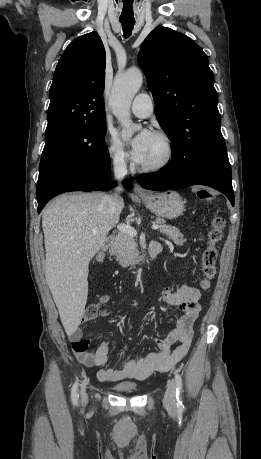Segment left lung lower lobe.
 Instances as JSON below:
<instances>
[{
  "mask_svg": "<svg viewBox=\"0 0 261 459\" xmlns=\"http://www.w3.org/2000/svg\"><path fill=\"white\" fill-rule=\"evenodd\" d=\"M137 181L149 190L206 185L224 193L234 205L231 166L226 150L200 156L184 169L168 163L155 173L140 175Z\"/></svg>",
  "mask_w": 261,
  "mask_h": 459,
  "instance_id": "1",
  "label": "left lung lower lobe"
}]
</instances>
